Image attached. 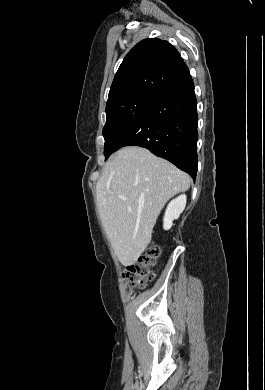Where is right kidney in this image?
I'll use <instances>...</instances> for the list:
<instances>
[{
  "label": "right kidney",
  "mask_w": 265,
  "mask_h": 390,
  "mask_svg": "<svg viewBox=\"0 0 265 390\" xmlns=\"http://www.w3.org/2000/svg\"><path fill=\"white\" fill-rule=\"evenodd\" d=\"M186 206V195H180L177 198L173 199L167 206L164 219H163V228L169 230L173 221L178 219L180 214L183 212Z\"/></svg>",
  "instance_id": "1"
}]
</instances>
